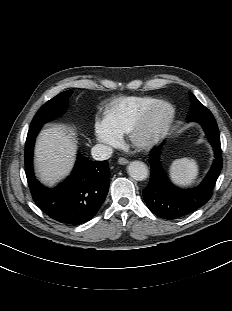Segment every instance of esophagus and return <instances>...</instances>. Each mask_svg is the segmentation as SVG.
<instances>
[{"mask_svg":"<svg viewBox=\"0 0 232 311\" xmlns=\"http://www.w3.org/2000/svg\"><path fill=\"white\" fill-rule=\"evenodd\" d=\"M128 162H129L128 159L123 158V157H121V158L118 159V163L121 164V165H125V164H127Z\"/></svg>","mask_w":232,"mask_h":311,"instance_id":"esophagus-1","label":"esophagus"}]
</instances>
